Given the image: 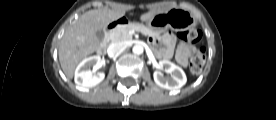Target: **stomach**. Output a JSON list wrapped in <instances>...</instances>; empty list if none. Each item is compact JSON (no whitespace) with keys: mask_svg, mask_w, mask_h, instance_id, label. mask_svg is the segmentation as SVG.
<instances>
[{"mask_svg":"<svg viewBox=\"0 0 276 120\" xmlns=\"http://www.w3.org/2000/svg\"><path fill=\"white\" fill-rule=\"evenodd\" d=\"M145 23L155 33H162L167 29L181 32L194 28L196 20L191 12L176 7L156 13Z\"/></svg>","mask_w":276,"mask_h":120,"instance_id":"obj_1","label":"stomach"}]
</instances>
